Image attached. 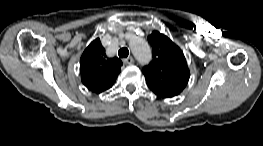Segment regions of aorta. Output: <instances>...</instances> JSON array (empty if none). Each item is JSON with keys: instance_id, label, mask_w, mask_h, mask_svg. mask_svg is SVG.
<instances>
[{"instance_id": "762f6f07", "label": "aorta", "mask_w": 263, "mask_h": 146, "mask_svg": "<svg viewBox=\"0 0 263 146\" xmlns=\"http://www.w3.org/2000/svg\"><path fill=\"white\" fill-rule=\"evenodd\" d=\"M130 48L139 64L146 65L151 61L152 51L144 39L134 36L130 40Z\"/></svg>"}]
</instances>
